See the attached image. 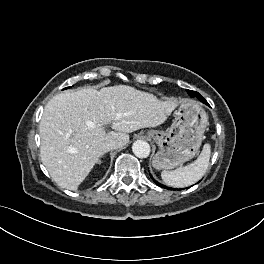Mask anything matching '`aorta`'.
I'll list each match as a JSON object with an SVG mask.
<instances>
[{"label": "aorta", "instance_id": "aorta-1", "mask_svg": "<svg viewBox=\"0 0 264 264\" xmlns=\"http://www.w3.org/2000/svg\"><path fill=\"white\" fill-rule=\"evenodd\" d=\"M132 151L139 158H146L150 154V145L143 140H137L133 143Z\"/></svg>", "mask_w": 264, "mask_h": 264}]
</instances>
